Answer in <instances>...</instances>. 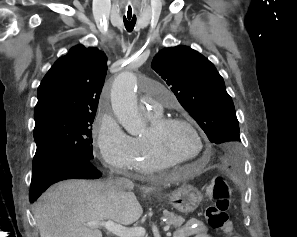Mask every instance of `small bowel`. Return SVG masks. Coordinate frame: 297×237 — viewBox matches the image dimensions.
Instances as JSON below:
<instances>
[{
	"mask_svg": "<svg viewBox=\"0 0 297 237\" xmlns=\"http://www.w3.org/2000/svg\"><path fill=\"white\" fill-rule=\"evenodd\" d=\"M212 237L208 234L205 224L198 219H190L179 228L174 237Z\"/></svg>",
	"mask_w": 297,
	"mask_h": 237,
	"instance_id": "obj_1",
	"label": "small bowel"
}]
</instances>
